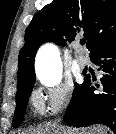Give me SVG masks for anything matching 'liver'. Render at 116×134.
I'll list each match as a JSON object with an SVG mask.
<instances>
[{
	"label": "liver",
	"mask_w": 116,
	"mask_h": 134,
	"mask_svg": "<svg viewBox=\"0 0 116 134\" xmlns=\"http://www.w3.org/2000/svg\"><path fill=\"white\" fill-rule=\"evenodd\" d=\"M107 130L104 127H96L90 131H79L72 130L70 128L57 127V126H45L38 127L37 129L30 130L22 134H106Z\"/></svg>",
	"instance_id": "1"
}]
</instances>
